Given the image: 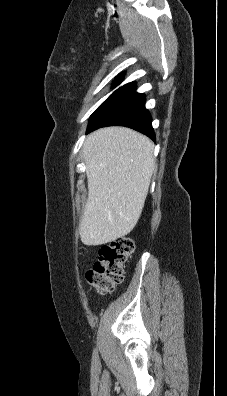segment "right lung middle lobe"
<instances>
[{
    "label": "right lung middle lobe",
    "mask_w": 227,
    "mask_h": 396,
    "mask_svg": "<svg viewBox=\"0 0 227 396\" xmlns=\"http://www.w3.org/2000/svg\"><path fill=\"white\" fill-rule=\"evenodd\" d=\"M122 80H123V74H120V75L116 78V80H115L113 86H114V87L117 86Z\"/></svg>",
    "instance_id": "dd1d6c3e"
}]
</instances>
